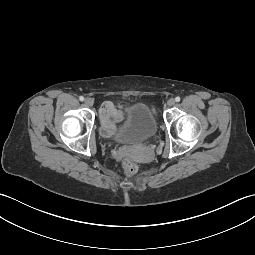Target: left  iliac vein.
Returning a JSON list of instances; mask_svg holds the SVG:
<instances>
[{
    "label": "left iliac vein",
    "mask_w": 255,
    "mask_h": 255,
    "mask_svg": "<svg viewBox=\"0 0 255 255\" xmlns=\"http://www.w3.org/2000/svg\"><path fill=\"white\" fill-rule=\"evenodd\" d=\"M167 104H168V106H173V105L175 104V99L170 98V99L167 101Z\"/></svg>",
    "instance_id": "left-iliac-vein-1"
}]
</instances>
